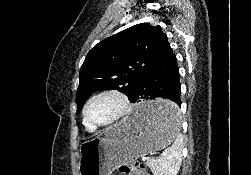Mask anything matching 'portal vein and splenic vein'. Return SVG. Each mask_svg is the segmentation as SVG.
Segmentation results:
<instances>
[{
  "mask_svg": "<svg viewBox=\"0 0 251 175\" xmlns=\"http://www.w3.org/2000/svg\"><path fill=\"white\" fill-rule=\"evenodd\" d=\"M161 155H162L161 151H152L151 153H146L145 155H141L140 161L146 162L147 158H154L155 156H161Z\"/></svg>",
  "mask_w": 251,
  "mask_h": 175,
  "instance_id": "obj_1",
  "label": "portal vein and splenic vein"
}]
</instances>
